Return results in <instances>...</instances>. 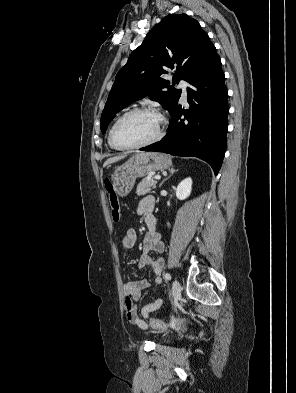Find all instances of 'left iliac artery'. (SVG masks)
Returning <instances> with one entry per match:
<instances>
[{"mask_svg": "<svg viewBox=\"0 0 296 393\" xmlns=\"http://www.w3.org/2000/svg\"><path fill=\"white\" fill-rule=\"evenodd\" d=\"M164 278H165L166 280H171V275H170V273L166 272V273L164 274Z\"/></svg>", "mask_w": 296, "mask_h": 393, "instance_id": "1", "label": "left iliac artery"}]
</instances>
